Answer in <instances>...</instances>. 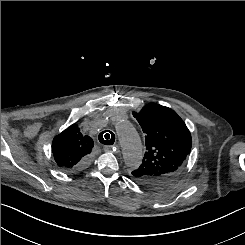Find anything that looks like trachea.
<instances>
[{"instance_id": "trachea-1", "label": "trachea", "mask_w": 245, "mask_h": 245, "mask_svg": "<svg viewBox=\"0 0 245 245\" xmlns=\"http://www.w3.org/2000/svg\"><path fill=\"white\" fill-rule=\"evenodd\" d=\"M99 141L104 145H113L115 142V135L111 131H103L99 134Z\"/></svg>"}]
</instances>
